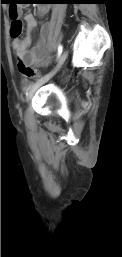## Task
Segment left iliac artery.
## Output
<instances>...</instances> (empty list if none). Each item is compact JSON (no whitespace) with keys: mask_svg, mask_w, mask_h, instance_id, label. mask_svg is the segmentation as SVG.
Here are the masks:
<instances>
[{"mask_svg":"<svg viewBox=\"0 0 122 257\" xmlns=\"http://www.w3.org/2000/svg\"><path fill=\"white\" fill-rule=\"evenodd\" d=\"M62 51H63V46L61 44H59V46H58V56L61 55Z\"/></svg>","mask_w":122,"mask_h":257,"instance_id":"44dca946","label":"left iliac artery"}]
</instances>
